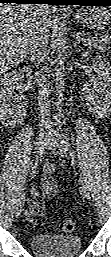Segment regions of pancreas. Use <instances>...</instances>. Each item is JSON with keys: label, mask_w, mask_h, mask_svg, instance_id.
<instances>
[{"label": "pancreas", "mask_w": 111, "mask_h": 257, "mask_svg": "<svg viewBox=\"0 0 111 257\" xmlns=\"http://www.w3.org/2000/svg\"><path fill=\"white\" fill-rule=\"evenodd\" d=\"M87 45L90 48H95L101 52H105L110 49L111 37L101 36V37H90L87 39Z\"/></svg>", "instance_id": "obj_1"}]
</instances>
